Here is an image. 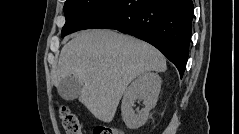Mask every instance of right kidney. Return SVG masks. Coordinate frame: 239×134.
<instances>
[{
  "label": "right kidney",
  "instance_id": "1",
  "mask_svg": "<svg viewBox=\"0 0 239 134\" xmlns=\"http://www.w3.org/2000/svg\"><path fill=\"white\" fill-rule=\"evenodd\" d=\"M161 78L157 73L141 74L125 90L121 104L122 118L130 129L141 127L148 119L149 111L155 107L161 88ZM143 101L144 108L135 113V101Z\"/></svg>",
  "mask_w": 239,
  "mask_h": 134
}]
</instances>
